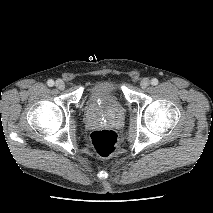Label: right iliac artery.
<instances>
[{
  "label": "right iliac artery",
  "mask_w": 213,
  "mask_h": 213,
  "mask_svg": "<svg viewBox=\"0 0 213 213\" xmlns=\"http://www.w3.org/2000/svg\"><path fill=\"white\" fill-rule=\"evenodd\" d=\"M47 85H48L49 87H52V86L54 85V81H53L52 79H49V80L47 81Z\"/></svg>",
  "instance_id": "right-iliac-artery-1"
}]
</instances>
